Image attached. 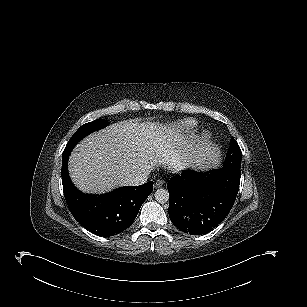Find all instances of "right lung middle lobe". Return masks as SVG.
<instances>
[{"instance_id":"right-lung-middle-lobe-1","label":"right lung middle lobe","mask_w":307,"mask_h":307,"mask_svg":"<svg viewBox=\"0 0 307 307\" xmlns=\"http://www.w3.org/2000/svg\"><path fill=\"white\" fill-rule=\"evenodd\" d=\"M108 124L107 120L99 119L82 125L71 137L65 148H74V146L85 136L106 127Z\"/></svg>"}]
</instances>
